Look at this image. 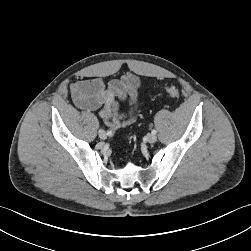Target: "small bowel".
Segmentation results:
<instances>
[{
	"label": "small bowel",
	"mask_w": 251,
	"mask_h": 251,
	"mask_svg": "<svg viewBox=\"0 0 251 251\" xmlns=\"http://www.w3.org/2000/svg\"><path fill=\"white\" fill-rule=\"evenodd\" d=\"M142 83L140 79L127 74L120 79L105 83L100 78L82 79L70 87L75 105L85 111H99V115L112 127L119 129L132 123L140 110L138 97ZM128 105L122 111L120 105Z\"/></svg>",
	"instance_id": "small-bowel-1"
}]
</instances>
